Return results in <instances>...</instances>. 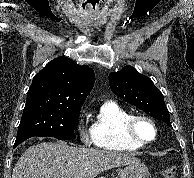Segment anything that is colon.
Segmentation results:
<instances>
[{
  "label": "colon",
  "mask_w": 194,
  "mask_h": 178,
  "mask_svg": "<svg viewBox=\"0 0 194 178\" xmlns=\"http://www.w3.org/2000/svg\"><path fill=\"white\" fill-rule=\"evenodd\" d=\"M161 175L163 178H175L176 177V169L174 167H167L161 171Z\"/></svg>",
  "instance_id": "colon-1"
}]
</instances>
